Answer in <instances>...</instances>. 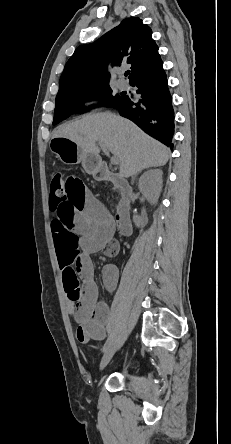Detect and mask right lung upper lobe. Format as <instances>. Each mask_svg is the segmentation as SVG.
Returning <instances> with one entry per match:
<instances>
[{"label":"right lung upper lobe","instance_id":"cb5924a9","mask_svg":"<svg viewBox=\"0 0 231 444\" xmlns=\"http://www.w3.org/2000/svg\"><path fill=\"white\" fill-rule=\"evenodd\" d=\"M110 60L113 65L131 64L130 82L163 65L151 28L138 17L124 19L97 41L75 50L61 75L58 94L108 85Z\"/></svg>","mask_w":231,"mask_h":444}]
</instances>
